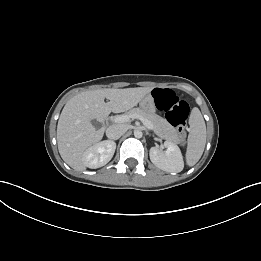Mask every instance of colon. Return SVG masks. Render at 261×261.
<instances>
[{
	"instance_id": "5ec220e1",
	"label": "colon",
	"mask_w": 261,
	"mask_h": 261,
	"mask_svg": "<svg viewBox=\"0 0 261 261\" xmlns=\"http://www.w3.org/2000/svg\"><path fill=\"white\" fill-rule=\"evenodd\" d=\"M153 97L158 109L164 111L169 122L176 126L182 140L185 139V125L190 108L186 101L170 89H155Z\"/></svg>"
}]
</instances>
